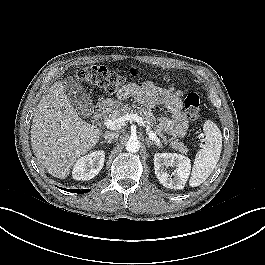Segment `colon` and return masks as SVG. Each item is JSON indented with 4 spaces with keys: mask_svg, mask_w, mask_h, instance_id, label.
I'll list each match as a JSON object with an SVG mask.
<instances>
[{
    "mask_svg": "<svg viewBox=\"0 0 265 265\" xmlns=\"http://www.w3.org/2000/svg\"><path fill=\"white\" fill-rule=\"evenodd\" d=\"M76 77L79 81L103 88L108 93L121 90L129 76L125 73H116L102 65H92L80 68ZM185 110L188 118L197 123L201 120L203 109L197 93L191 92L185 99Z\"/></svg>",
    "mask_w": 265,
    "mask_h": 265,
    "instance_id": "5ec220e1",
    "label": "colon"
}]
</instances>
